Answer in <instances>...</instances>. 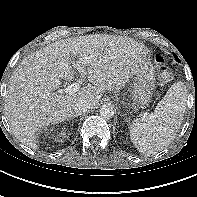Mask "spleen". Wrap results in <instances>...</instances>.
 Masks as SVG:
<instances>
[{"mask_svg":"<svg viewBox=\"0 0 197 197\" xmlns=\"http://www.w3.org/2000/svg\"><path fill=\"white\" fill-rule=\"evenodd\" d=\"M186 102L184 83L171 85L154 113L132 123L130 137L135 147L143 154H155L167 147L182 124Z\"/></svg>","mask_w":197,"mask_h":197,"instance_id":"obj_1","label":"spleen"}]
</instances>
